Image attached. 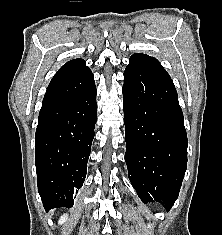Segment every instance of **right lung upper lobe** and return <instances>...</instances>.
I'll use <instances>...</instances> for the list:
<instances>
[{
	"label": "right lung upper lobe",
	"instance_id": "right-lung-upper-lobe-1",
	"mask_svg": "<svg viewBox=\"0 0 222 235\" xmlns=\"http://www.w3.org/2000/svg\"><path fill=\"white\" fill-rule=\"evenodd\" d=\"M88 69L89 68L86 66L85 60L77 58V59L68 61L65 65H63L59 69V71L55 74L53 79L62 77L64 75L77 74Z\"/></svg>",
	"mask_w": 222,
	"mask_h": 235
}]
</instances>
